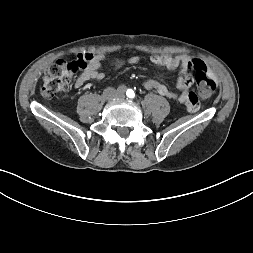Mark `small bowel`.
Here are the masks:
<instances>
[{
	"mask_svg": "<svg viewBox=\"0 0 253 253\" xmlns=\"http://www.w3.org/2000/svg\"><path fill=\"white\" fill-rule=\"evenodd\" d=\"M91 55L92 58L87 68L75 81L76 88H81L91 79L102 80L105 76L100 70L101 64L105 58L104 54L96 53ZM139 61L140 58L138 56H132L128 60L131 65H136ZM150 61L152 64L164 67L168 70L180 69V76L176 81V88L180 91V94L176 95L165 84L155 79H147L144 82L145 89L154 90L163 97L177 99L179 102L185 103L189 113L200 112L203 109V102L200 100L199 95L193 91L189 92V88L193 84V80L189 76V71L192 68L191 59L184 55L175 57L154 55L150 58Z\"/></svg>",
	"mask_w": 253,
	"mask_h": 253,
	"instance_id": "c3829d8e",
	"label": "small bowel"
}]
</instances>
